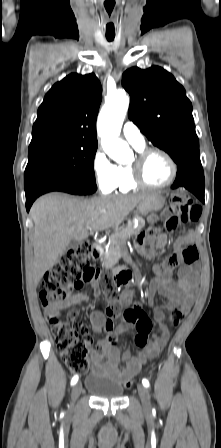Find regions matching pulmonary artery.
<instances>
[{
	"label": "pulmonary artery",
	"mask_w": 221,
	"mask_h": 448,
	"mask_svg": "<svg viewBox=\"0 0 221 448\" xmlns=\"http://www.w3.org/2000/svg\"><path fill=\"white\" fill-rule=\"evenodd\" d=\"M124 138L135 148L145 146V138L139 128L132 122L127 121L123 126Z\"/></svg>",
	"instance_id": "obj_1"
}]
</instances>
